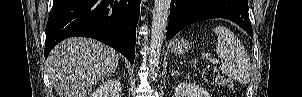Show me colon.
<instances>
[{
    "label": "colon",
    "instance_id": "colon-1",
    "mask_svg": "<svg viewBox=\"0 0 302 97\" xmlns=\"http://www.w3.org/2000/svg\"><path fill=\"white\" fill-rule=\"evenodd\" d=\"M203 78L207 83L210 84H221L224 83L226 86H230L229 80H223L215 68H206L203 72Z\"/></svg>",
    "mask_w": 302,
    "mask_h": 97
}]
</instances>
